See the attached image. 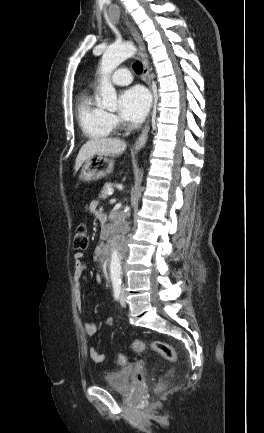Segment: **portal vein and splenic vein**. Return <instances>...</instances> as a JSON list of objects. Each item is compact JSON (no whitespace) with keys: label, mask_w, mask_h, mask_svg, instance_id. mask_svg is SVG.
I'll return each mask as SVG.
<instances>
[{"label":"portal vein and splenic vein","mask_w":264,"mask_h":433,"mask_svg":"<svg viewBox=\"0 0 264 433\" xmlns=\"http://www.w3.org/2000/svg\"><path fill=\"white\" fill-rule=\"evenodd\" d=\"M107 194H108V195H112V194H113V190H109V191L107 192Z\"/></svg>","instance_id":"portal-vein-and-splenic-vein-1"}]
</instances>
